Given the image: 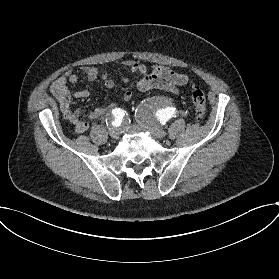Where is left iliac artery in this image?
<instances>
[{
    "instance_id": "left-iliac-artery-1",
    "label": "left iliac artery",
    "mask_w": 279,
    "mask_h": 279,
    "mask_svg": "<svg viewBox=\"0 0 279 279\" xmlns=\"http://www.w3.org/2000/svg\"><path fill=\"white\" fill-rule=\"evenodd\" d=\"M175 108H167L159 111L158 118L159 121L162 125H165L166 122L171 118V117H176L173 114H175Z\"/></svg>"
}]
</instances>
